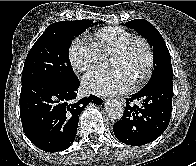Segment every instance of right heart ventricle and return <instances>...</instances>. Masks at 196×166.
<instances>
[{
    "label": "right heart ventricle",
    "mask_w": 196,
    "mask_h": 166,
    "mask_svg": "<svg viewBox=\"0 0 196 166\" xmlns=\"http://www.w3.org/2000/svg\"><path fill=\"white\" fill-rule=\"evenodd\" d=\"M135 37L133 33L119 27H109L98 30L92 42L100 54L114 53L120 49L128 40Z\"/></svg>",
    "instance_id": "obj_1"
}]
</instances>
